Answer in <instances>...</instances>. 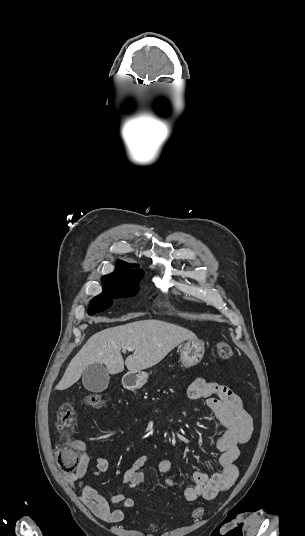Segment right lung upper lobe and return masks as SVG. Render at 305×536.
<instances>
[{
    "mask_svg": "<svg viewBox=\"0 0 305 536\" xmlns=\"http://www.w3.org/2000/svg\"><path fill=\"white\" fill-rule=\"evenodd\" d=\"M130 267H137V265H129L122 261H119L116 266L115 272L102 277V281H136L142 278L143 271L140 269L129 270Z\"/></svg>",
    "mask_w": 305,
    "mask_h": 536,
    "instance_id": "right-lung-upper-lobe-1",
    "label": "right lung upper lobe"
}]
</instances>
